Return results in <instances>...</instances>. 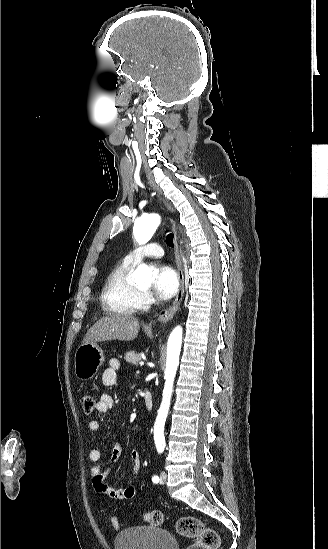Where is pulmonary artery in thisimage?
Returning a JSON list of instances; mask_svg holds the SVG:
<instances>
[{
	"label": "pulmonary artery",
	"mask_w": 328,
	"mask_h": 549,
	"mask_svg": "<svg viewBox=\"0 0 328 549\" xmlns=\"http://www.w3.org/2000/svg\"><path fill=\"white\" fill-rule=\"evenodd\" d=\"M168 253V250L164 246H148L145 248L144 251H141L139 249H133L130 250L129 253L126 255V258L133 260V261H139L142 258L150 257V258H157V257H164Z\"/></svg>",
	"instance_id": "pulmonary-artery-1"
}]
</instances>
